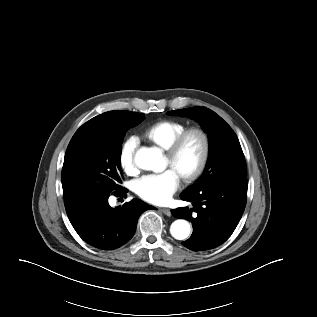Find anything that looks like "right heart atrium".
I'll return each instance as SVG.
<instances>
[{
	"label": "right heart atrium",
	"mask_w": 317,
	"mask_h": 317,
	"mask_svg": "<svg viewBox=\"0 0 317 317\" xmlns=\"http://www.w3.org/2000/svg\"><path fill=\"white\" fill-rule=\"evenodd\" d=\"M138 145V138L131 135L124 140L119 151V164L124 172L129 175L134 174L137 170L135 154Z\"/></svg>",
	"instance_id": "d8ad5b80"
}]
</instances>
